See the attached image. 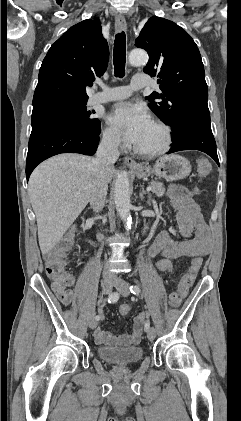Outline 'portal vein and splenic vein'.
Returning a JSON list of instances; mask_svg holds the SVG:
<instances>
[{"label":"portal vein and splenic vein","instance_id":"1","mask_svg":"<svg viewBox=\"0 0 241 421\" xmlns=\"http://www.w3.org/2000/svg\"><path fill=\"white\" fill-rule=\"evenodd\" d=\"M146 190H147V191H151V190H152L151 186H148V187L146 188ZM75 195H76V196H78L79 194H78V193H76Z\"/></svg>","mask_w":241,"mask_h":421}]
</instances>
